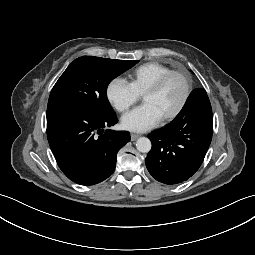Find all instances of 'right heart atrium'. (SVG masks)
<instances>
[{
  "label": "right heart atrium",
  "mask_w": 255,
  "mask_h": 255,
  "mask_svg": "<svg viewBox=\"0 0 255 255\" xmlns=\"http://www.w3.org/2000/svg\"><path fill=\"white\" fill-rule=\"evenodd\" d=\"M105 94L111 106L120 113L127 111L140 97L131 84L120 77L109 81Z\"/></svg>",
  "instance_id": "d8ad5b80"
}]
</instances>
